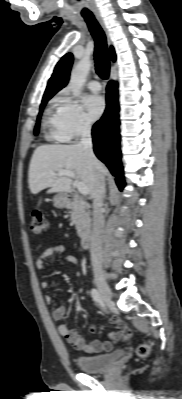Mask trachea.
Instances as JSON below:
<instances>
[{
    "mask_svg": "<svg viewBox=\"0 0 182 399\" xmlns=\"http://www.w3.org/2000/svg\"><path fill=\"white\" fill-rule=\"evenodd\" d=\"M82 16L85 19L95 41L94 57L96 73L102 79H107L110 71V61L105 33L93 14H83Z\"/></svg>",
    "mask_w": 182,
    "mask_h": 399,
    "instance_id": "3493384b",
    "label": "trachea"
}]
</instances>
